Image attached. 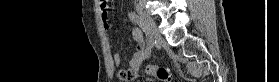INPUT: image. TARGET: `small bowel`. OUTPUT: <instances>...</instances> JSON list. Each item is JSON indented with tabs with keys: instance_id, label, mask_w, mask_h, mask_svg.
<instances>
[{
	"instance_id": "small-bowel-1",
	"label": "small bowel",
	"mask_w": 279,
	"mask_h": 82,
	"mask_svg": "<svg viewBox=\"0 0 279 82\" xmlns=\"http://www.w3.org/2000/svg\"><path fill=\"white\" fill-rule=\"evenodd\" d=\"M99 8L101 10V19L105 28L109 27L108 22V1L101 0L99 2ZM133 39L136 42V51L133 53L132 58L129 61V65L126 69H122L118 73V78L122 81H126L134 78L138 75L142 61L145 59V49L146 45L144 40L140 35L138 29L133 30ZM112 61L115 66H119L121 63V55L119 53H114L112 56ZM121 73H124L125 76H121Z\"/></svg>"
}]
</instances>
